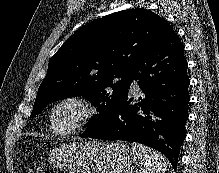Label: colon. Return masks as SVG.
I'll return each mask as SVG.
<instances>
[{
  "label": "colon",
  "mask_w": 219,
  "mask_h": 173,
  "mask_svg": "<svg viewBox=\"0 0 219 173\" xmlns=\"http://www.w3.org/2000/svg\"><path fill=\"white\" fill-rule=\"evenodd\" d=\"M28 173H42V169L39 164H32L28 169Z\"/></svg>",
  "instance_id": "obj_1"
}]
</instances>
